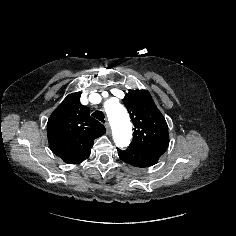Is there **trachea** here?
I'll use <instances>...</instances> for the list:
<instances>
[{
	"label": "trachea",
	"mask_w": 236,
	"mask_h": 236,
	"mask_svg": "<svg viewBox=\"0 0 236 236\" xmlns=\"http://www.w3.org/2000/svg\"><path fill=\"white\" fill-rule=\"evenodd\" d=\"M92 116L101 122H105V116L102 111H95Z\"/></svg>",
	"instance_id": "obj_1"
}]
</instances>
